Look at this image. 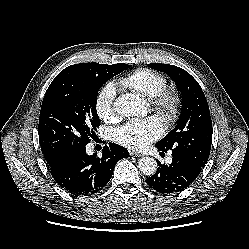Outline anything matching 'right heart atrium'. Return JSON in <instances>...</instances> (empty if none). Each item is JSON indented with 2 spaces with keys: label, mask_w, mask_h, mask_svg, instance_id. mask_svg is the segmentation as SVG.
Here are the masks:
<instances>
[{
  "label": "right heart atrium",
  "mask_w": 249,
  "mask_h": 249,
  "mask_svg": "<svg viewBox=\"0 0 249 249\" xmlns=\"http://www.w3.org/2000/svg\"><path fill=\"white\" fill-rule=\"evenodd\" d=\"M116 92L115 85L109 82L97 94L95 110L98 117L105 122H111L116 118L114 107Z\"/></svg>",
  "instance_id": "d8ad5b80"
}]
</instances>
